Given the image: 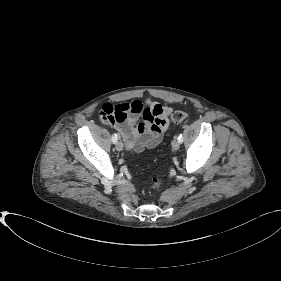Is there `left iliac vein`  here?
Masks as SVG:
<instances>
[{
	"instance_id": "4c4485c4",
	"label": "left iliac vein",
	"mask_w": 281,
	"mask_h": 281,
	"mask_svg": "<svg viewBox=\"0 0 281 281\" xmlns=\"http://www.w3.org/2000/svg\"><path fill=\"white\" fill-rule=\"evenodd\" d=\"M172 148L173 150L177 151L180 148V142L178 139L173 140L172 142Z\"/></svg>"
}]
</instances>
